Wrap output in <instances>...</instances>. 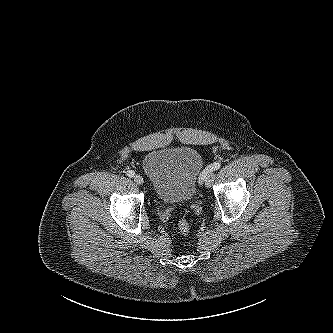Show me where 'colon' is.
<instances>
[{"label": "colon", "instance_id": "1", "mask_svg": "<svg viewBox=\"0 0 333 333\" xmlns=\"http://www.w3.org/2000/svg\"><path fill=\"white\" fill-rule=\"evenodd\" d=\"M178 228L181 233L188 234L190 232V223L185 218H181L178 221Z\"/></svg>", "mask_w": 333, "mask_h": 333}]
</instances>
